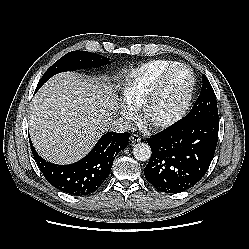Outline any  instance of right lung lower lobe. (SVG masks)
<instances>
[{
  "label": "right lung lower lobe",
  "instance_id": "right-lung-lower-lobe-1",
  "mask_svg": "<svg viewBox=\"0 0 249 249\" xmlns=\"http://www.w3.org/2000/svg\"><path fill=\"white\" fill-rule=\"evenodd\" d=\"M130 134H104L86 157L69 165H56L41 158L30 141L33 156L47 181L70 195H86L97 190L107 178L116 155L127 147Z\"/></svg>",
  "mask_w": 249,
  "mask_h": 249
}]
</instances>
